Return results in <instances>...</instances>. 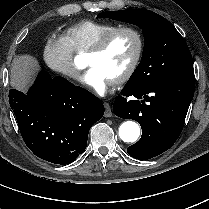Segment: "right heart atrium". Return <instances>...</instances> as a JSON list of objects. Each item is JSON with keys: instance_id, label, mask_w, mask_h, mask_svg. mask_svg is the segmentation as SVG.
Listing matches in <instances>:
<instances>
[{"instance_id": "right-heart-atrium-1", "label": "right heart atrium", "mask_w": 209, "mask_h": 209, "mask_svg": "<svg viewBox=\"0 0 209 209\" xmlns=\"http://www.w3.org/2000/svg\"><path fill=\"white\" fill-rule=\"evenodd\" d=\"M43 59L47 66L59 75L80 81V70L73 58V51L62 35H50L44 44Z\"/></svg>"}]
</instances>
